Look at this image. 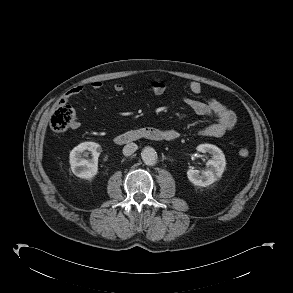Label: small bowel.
Wrapping results in <instances>:
<instances>
[{
	"label": "small bowel",
	"mask_w": 293,
	"mask_h": 293,
	"mask_svg": "<svg viewBox=\"0 0 293 293\" xmlns=\"http://www.w3.org/2000/svg\"><path fill=\"white\" fill-rule=\"evenodd\" d=\"M103 88V83L100 81H94L90 83L91 91H99ZM166 84L155 80L150 85V90L154 95H162L166 91ZM85 87L82 85L75 86L66 92L61 101L66 102L68 99L82 93ZM126 89L123 84L116 83L113 85L115 92H122ZM189 91L193 95H199L202 91L201 84L198 82H191L189 84ZM184 103L193 112L201 116L213 117L215 121L209 125L202 127L199 133L209 137H222L231 131L237 123V117L235 113L227 108L224 104L215 98H210L207 102H202L194 98H185ZM73 128H77L79 124L75 122ZM173 139L180 136L177 130L169 129L165 130Z\"/></svg>",
	"instance_id": "1"
}]
</instances>
